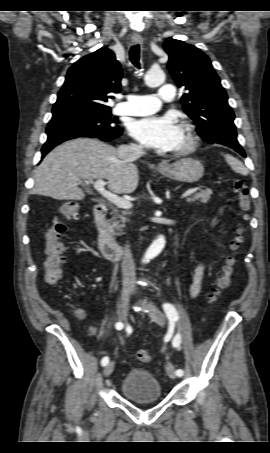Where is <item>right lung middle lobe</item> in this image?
<instances>
[{"label":"right lung middle lobe","instance_id":"obj_1","mask_svg":"<svg viewBox=\"0 0 270 453\" xmlns=\"http://www.w3.org/2000/svg\"><path fill=\"white\" fill-rule=\"evenodd\" d=\"M118 123L111 117L110 110H100L55 117L51 119L48 126L72 125L110 131L119 128Z\"/></svg>","mask_w":270,"mask_h":453}]
</instances>
